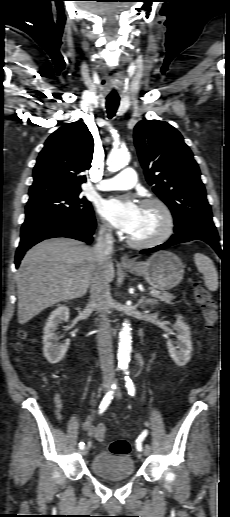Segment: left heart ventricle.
Segmentation results:
<instances>
[{
	"label": "left heart ventricle",
	"mask_w": 230,
	"mask_h": 517,
	"mask_svg": "<svg viewBox=\"0 0 230 517\" xmlns=\"http://www.w3.org/2000/svg\"><path fill=\"white\" fill-rule=\"evenodd\" d=\"M163 228V217L154 205L140 207V217L130 236L137 240H147L155 237Z\"/></svg>",
	"instance_id": "b2bd125f"
}]
</instances>
